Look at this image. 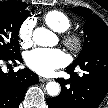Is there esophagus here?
Listing matches in <instances>:
<instances>
[{
    "mask_svg": "<svg viewBox=\"0 0 108 108\" xmlns=\"http://www.w3.org/2000/svg\"><path fill=\"white\" fill-rule=\"evenodd\" d=\"M39 81H40V82H48V81H50V79H48V78H43V77H39Z\"/></svg>",
    "mask_w": 108,
    "mask_h": 108,
    "instance_id": "obj_1",
    "label": "esophagus"
}]
</instances>
